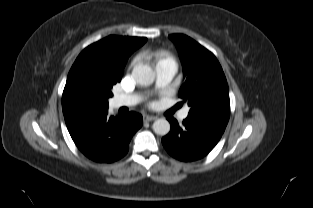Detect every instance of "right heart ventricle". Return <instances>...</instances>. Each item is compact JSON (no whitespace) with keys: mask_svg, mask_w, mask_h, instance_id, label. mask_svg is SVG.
Returning <instances> with one entry per match:
<instances>
[{"mask_svg":"<svg viewBox=\"0 0 313 208\" xmlns=\"http://www.w3.org/2000/svg\"><path fill=\"white\" fill-rule=\"evenodd\" d=\"M154 60L156 66L166 61H173V59L166 53H155Z\"/></svg>","mask_w":313,"mask_h":208,"instance_id":"1","label":"right heart ventricle"}]
</instances>
